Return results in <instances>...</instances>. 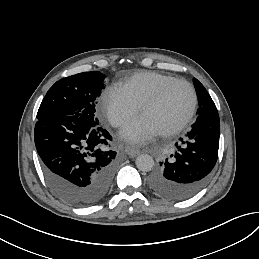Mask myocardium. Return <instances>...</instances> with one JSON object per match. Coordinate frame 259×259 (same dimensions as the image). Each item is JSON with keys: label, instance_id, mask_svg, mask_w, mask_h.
Returning a JSON list of instances; mask_svg holds the SVG:
<instances>
[{"label": "myocardium", "instance_id": "obj_1", "mask_svg": "<svg viewBox=\"0 0 259 259\" xmlns=\"http://www.w3.org/2000/svg\"><path fill=\"white\" fill-rule=\"evenodd\" d=\"M177 82H181V83L185 84L189 88V90L191 92V97H192L191 105L189 107V110L185 114V116L183 118H181L171 129L166 130V131H164L162 133H159V135L161 137H172V136L178 134L192 120V118L195 115V112L197 110V106H198V95H197V92H196V89H195L194 85L191 82H189L188 80L184 79V78L172 77V78L164 81L163 83H161L157 87L156 92L151 97L146 99L140 105L139 116H140V114L142 112H144L148 108L158 104L160 102V100L162 99V97H163L164 93L166 92V90L172 84L177 83Z\"/></svg>", "mask_w": 259, "mask_h": 259}]
</instances>
